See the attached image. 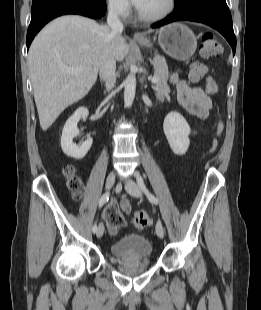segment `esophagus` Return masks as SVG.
Segmentation results:
<instances>
[{
	"instance_id": "1",
	"label": "esophagus",
	"mask_w": 261,
	"mask_h": 310,
	"mask_svg": "<svg viewBox=\"0 0 261 310\" xmlns=\"http://www.w3.org/2000/svg\"><path fill=\"white\" fill-rule=\"evenodd\" d=\"M143 35L139 32L134 33V39L139 40V39H143Z\"/></svg>"
}]
</instances>
